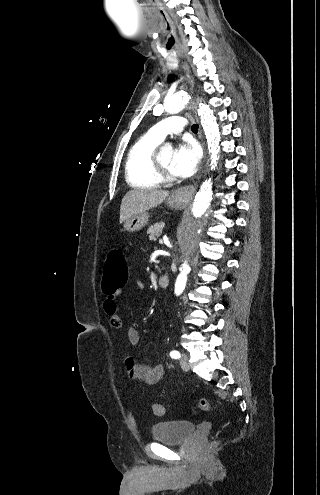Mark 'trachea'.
<instances>
[{
    "instance_id": "trachea-1",
    "label": "trachea",
    "mask_w": 320,
    "mask_h": 495,
    "mask_svg": "<svg viewBox=\"0 0 320 495\" xmlns=\"http://www.w3.org/2000/svg\"><path fill=\"white\" fill-rule=\"evenodd\" d=\"M191 129L193 132H197L198 131V125L197 124L192 125Z\"/></svg>"
}]
</instances>
